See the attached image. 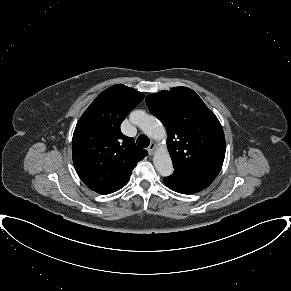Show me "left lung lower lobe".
<instances>
[{"label":"left lung lower lobe","mask_w":291,"mask_h":291,"mask_svg":"<svg viewBox=\"0 0 291 291\" xmlns=\"http://www.w3.org/2000/svg\"><path fill=\"white\" fill-rule=\"evenodd\" d=\"M214 177L185 173L175 170L173 175L163 179L171 190L182 194H193L208 187Z\"/></svg>","instance_id":"0a47b994"}]
</instances>
